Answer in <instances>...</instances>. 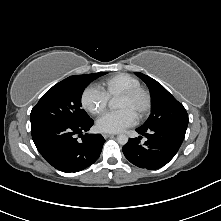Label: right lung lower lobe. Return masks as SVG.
Returning a JSON list of instances; mask_svg holds the SVG:
<instances>
[{"instance_id": "98d812e1", "label": "right lung lower lobe", "mask_w": 221, "mask_h": 221, "mask_svg": "<svg viewBox=\"0 0 221 221\" xmlns=\"http://www.w3.org/2000/svg\"><path fill=\"white\" fill-rule=\"evenodd\" d=\"M81 123L43 122L31 126L33 141L44 159L63 172H78L93 164L105 142L101 134H85L93 125ZM76 135L82 138L77 141Z\"/></svg>"}]
</instances>
